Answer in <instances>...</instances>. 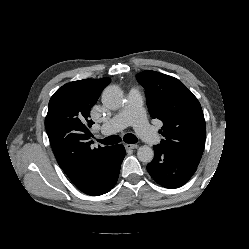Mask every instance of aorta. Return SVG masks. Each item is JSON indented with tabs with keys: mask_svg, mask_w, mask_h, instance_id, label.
<instances>
[{
	"mask_svg": "<svg viewBox=\"0 0 249 249\" xmlns=\"http://www.w3.org/2000/svg\"><path fill=\"white\" fill-rule=\"evenodd\" d=\"M124 102V95L122 90L115 85L106 87L102 93V103L111 110L119 109ZM137 157L139 161L150 163L154 157V151L149 146H141L137 150Z\"/></svg>",
	"mask_w": 249,
	"mask_h": 249,
	"instance_id": "aorta-1",
	"label": "aorta"
}]
</instances>
